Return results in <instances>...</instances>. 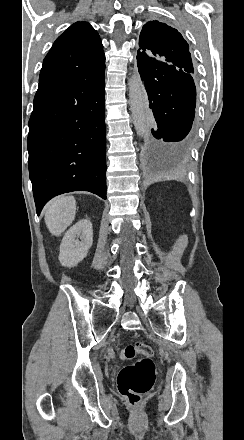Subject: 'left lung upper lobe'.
<instances>
[{"mask_svg":"<svg viewBox=\"0 0 244 440\" xmlns=\"http://www.w3.org/2000/svg\"><path fill=\"white\" fill-rule=\"evenodd\" d=\"M137 63L141 65L165 66L193 74L189 46L174 28L159 21L147 22L139 37Z\"/></svg>","mask_w":244,"mask_h":440,"instance_id":"obj_1","label":"left lung upper lobe"}]
</instances>
